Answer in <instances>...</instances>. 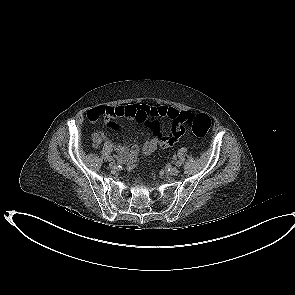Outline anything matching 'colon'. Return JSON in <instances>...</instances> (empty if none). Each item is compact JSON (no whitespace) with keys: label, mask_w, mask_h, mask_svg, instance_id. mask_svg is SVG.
Instances as JSON below:
<instances>
[{"label":"colon","mask_w":295,"mask_h":295,"mask_svg":"<svg viewBox=\"0 0 295 295\" xmlns=\"http://www.w3.org/2000/svg\"><path fill=\"white\" fill-rule=\"evenodd\" d=\"M97 119V117H96ZM179 133L181 134L185 127H189L192 132L198 136L203 137L207 134L211 126V119L204 113H185L178 117ZM157 149V142L154 139H147L140 147V154L143 157H150Z\"/></svg>","instance_id":"1"}]
</instances>
